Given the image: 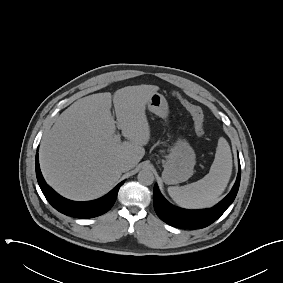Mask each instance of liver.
Wrapping results in <instances>:
<instances>
[{
  "label": "liver",
  "instance_id": "liver-1",
  "mask_svg": "<svg viewBox=\"0 0 283 283\" xmlns=\"http://www.w3.org/2000/svg\"><path fill=\"white\" fill-rule=\"evenodd\" d=\"M155 85L127 86L113 95L92 94L61 113L42 139L40 167L62 196L87 201L106 194L121 177V162L134 168L145 154L150 127L145 113ZM112 101L117 122L111 114ZM127 141L115 138V124Z\"/></svg>",
  "mask_w": 283,
  "mask_h": 283
}]
</instances>
